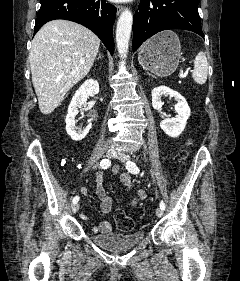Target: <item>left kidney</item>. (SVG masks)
Listing matches in <instances>:
<instances>
[{
  "label": "left kidney",
  "mask_w": 240,
  "mask_h": 281,
  "mask_svg": "<svg viewBox=\"0 0 240 281\" xmlns=\"http://www.w3.org/2000/svg\"><path fill=\"white\" fill-rule=\"evenodd\" d=\"M163 96L174 97L177 101V104L174 106L177 115L175 118H164L162 116L163 120L160 123V127L168 136L176 138L185 129L191 111L185 98L177 91H173L166 86H159L152 90V106L154 109L158 111L162 109L164 103L161 101V98Z\"/></svg>",
  "instance_id": "obj_1"
}]
</instances>
